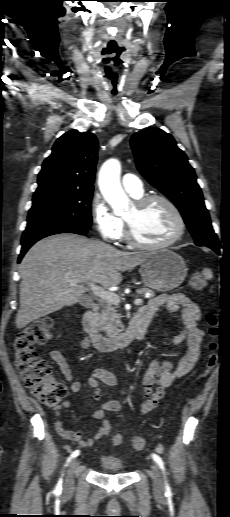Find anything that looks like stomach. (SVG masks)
Wrapping results in <instances>:
<instances>
[{"label":"stomach","instance_id":"1","mask_svg":"<svg viewBox=\"0 0 230 517\" xmlns=\"http://www.w3.org/2000/svg\"><path fill=\"white\" fill-rule=\"evenodd\" d=\"M187 270L185 261L179 254L160 249L149 253L141 264L140 274L146 286L168 292L184 281Z\"/></svg>","mask_w":230,"mask_h":517}]
</instances>
